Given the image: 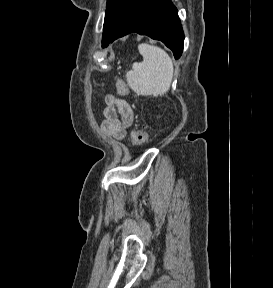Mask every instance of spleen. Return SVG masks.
I'll return each mask as SVG.
<instances>
[{"mask_svg":"<svg viewBox=\"0 0 273 288\" xmlns=\"http://www.w3.org/2000/svg\"><path fill=\"white\" fill-rule=\"evenodd\" d=\"M142 62H135L126 73L129 87L138 95H161L170 89L174 68L170 56L160 47L141 43Z\"/></svg>","mask_w":273,"mask_h":288,"instance_id":"spleen-1","label":"spleen"}]
</instances>
